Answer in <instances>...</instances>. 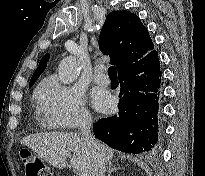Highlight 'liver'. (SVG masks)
<instances>
[{"label": "liver", "instance_id": "liver-1", "mask_svg": "<svg viewBox=\"0 0 205 176\" xmlns=\"http://www.w3.org/2000/svg\"><path fill=\"white\" fill-rule=\"evenodd\" d=\"M21 144L29 147L44 161L55 168L64 169L66 159L72 154L71 166L82 173L92 176L94 171L93 154L83 139L76 133L49 132L23 137ZM100 144V143H99ZM105 161L112 159L113 149L100 144Z\"/></svg>", "mask_w": 205, "mask_h": 176}]
</instances>
